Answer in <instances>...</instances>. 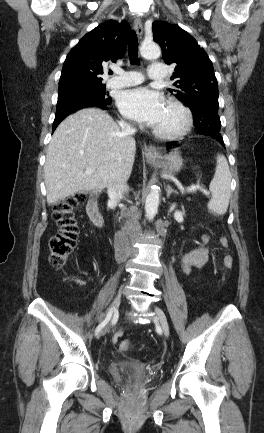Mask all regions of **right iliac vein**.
Wrapping results in <instances>:
<instances>
[{
    "label": "right iliac vein",
    "mask_w": 264,
    "mask_h": 433,
    "mask_svg": "<svg viewBox=\"0 0 264 433\" xmlns=\"http://www.w3.org/2000/svg\"><path fill=\"white\" fill-rule=\"evenodd\" d=\"M121 296H122V291L119 290V292L116 295V297H115V299H114V301L112 303V306L110 308L111 311H112V316H115L118 313V307H119V304H120V301H121ZM107 330H108L107 326L105 328H103L101 330V332L99 333V337L105 335L106 332H107Z\"/></svg>",
    "instance_id": "63e3f726"
}]
</instances>
